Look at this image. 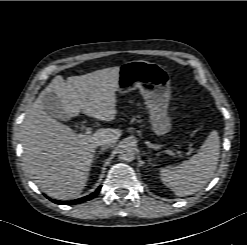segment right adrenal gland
Here are the masks:
<instances>
[{"label": "right adrenal gland", "mask_w": 247, "mask_h": 245, "mask_svg": "<svg viewBox=\"0 0 247 245\" xmlns=\"http://www.w3.org/2000/svg\"><path fill=\"white\" fill-rule=\"evenodd\" d=\"M103 153V150L99 151L97 156L95 157V159H98L99 158V155Z\"/></svg>", "instance_id": "1"}]
</instances>
